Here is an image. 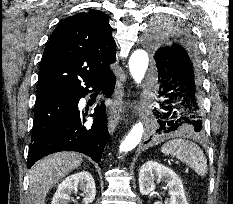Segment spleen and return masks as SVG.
Here are the masks:
<instances>
[{"label": "spleen", "mask_w": 233, "mask_h": 204, "mask_svg": "<svg viewBox=\"0 0 233 204\" xmlns=\"http://www.w3.org/2000/svg\"><path fill=\"white\" fill-rule=\"evenodd\" d=\"M161 152L188 165L199 176H206L208 171L207 160L203 151L195 143L181 138L172 139L161 147Z\"/></svg>", "instance_id": "spleen-1"}]
</instances>
